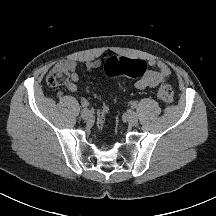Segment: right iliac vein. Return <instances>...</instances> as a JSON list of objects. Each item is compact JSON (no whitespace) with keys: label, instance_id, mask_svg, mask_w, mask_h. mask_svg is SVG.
Instances as JSON below:
<instances>
[{"label":"right iliac vein","instance_id":"obj_1","mask_svg":"<svg viewBox=\"0 0 216 216\" xmlns=\"http://www.w3.org/2000/svg\"><path fill=\"white\" fill-rule=\"evenodd\" d=\"M81 117H82L83 119H85V120H90V119L93 117V115H92V113H91L90 110H88V109H83V110L81 111Z\"/></svg>","mask_w":216,"mask_h":216}]
</instances>
